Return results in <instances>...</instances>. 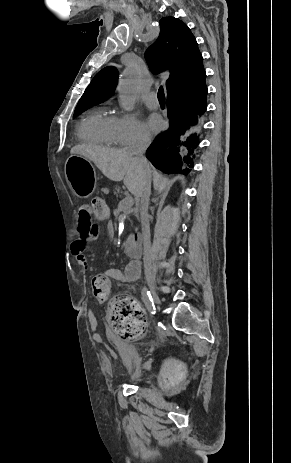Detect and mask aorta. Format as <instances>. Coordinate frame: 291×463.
<instances>
[{"mask_svg":"<svg viewBox=\"0 0 291 463\" xmlns=\"http://www.w3.org/2000/svg\"><path fill=\"white\" fill-rule=\"evenodd\" d=\"M139 84L140 76L138 68L134 65L127 67L118 85L119 102L125 111H132L134 109Z\"/></svg>","mask_w":291,"mask_h":463,"instance_id":"aorta-1","label":"aorta"}]
</instances>
